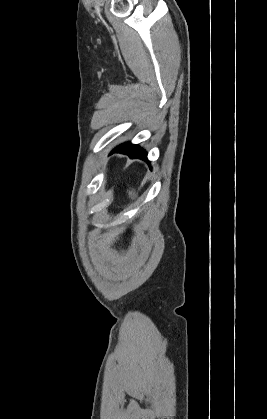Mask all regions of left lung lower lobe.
Listing matches in <instances>:
<instances>
[{"label": "left lung lower lobe", "instance_id": "obj_1", "mask_svg": "<svg viewBox=\"0 0 267 419\" xmlns=\"http://www.w3.org/2000/svg\"><path fill=\"white\" fill-rule=\"evenodd\" d=\"M114 152H121L123 154H126L131 159L138 158L142 160H147V152L138 145H133L129 142L117 146L111 153Z\"/></svg>", "mask_w": 267, "mask_h": 419}]
</instances>
